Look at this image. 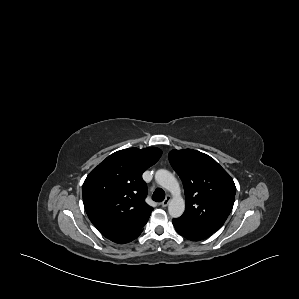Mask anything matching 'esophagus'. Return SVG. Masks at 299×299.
Wrapping results in <instances>:
<instances>
[{"label":"esophagus","instance_id":"obj_1","mask_svg":"<svg viewBox=\"0 0 299 299\" xmlns=\"http://www.w3.org/2000/svg\"><path fill=\"white\" fill-rule=\"evenodd\" d=\"M170 196H166L163 202H161L162 207H166L169 204Z\"/></svg>","mask_w":299,"mask_h":299}]
</instances>
